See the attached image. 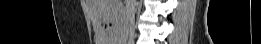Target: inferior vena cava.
Here are the masks:
<instances>
[{"mask_svg": "<svg viewBox=\"0 0 261 44\" xmlns=\"http://www.w3.org/2000/svg\"><path fill=\"white\" fill-rule=\"evenodd\" d=\"M132 1H135V0H132ZM126 11H127L129 34L132 35L134 17H135V7L130 5V6L127 7Z\"/></svg>", "mask_w": 261, "mask_h": 44, "instance_id": "1", "label": "inferior vena cava"}]
</instances>
